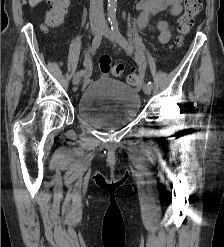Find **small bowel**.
Masks as SVG:
<instances>
[{
	"label": "small bowel",
	"instance_id": "obj_1",
	"mask_svg": "<svg viewBox=\"0 0 224 247\" xmlns=\"http://www.w3.org/2000/svg\"><path fill=\"white\" fill-rule=\"evenodd\" d=\"M136 8L138 11L137 26L143 29L153 16L163 11H168L172 16H178L182 12V0H140ZM157 30L160 43H167L171 37L168 22L159 21ZM132 72L135 70L132 69Z\"/></svg>",
	"mask_w": 224,
	"mask_h": 247
}]
</instances>
